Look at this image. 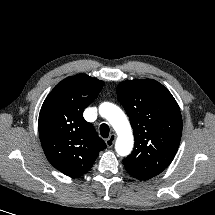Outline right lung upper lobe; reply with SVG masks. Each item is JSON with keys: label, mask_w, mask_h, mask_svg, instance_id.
<instances>
[{"label": "right lung upper lobe", "mask_w": 215, "mask_h": 215, "mask_svg": "<svg viewBox=\"0 0 215 215\" xmlns=\"http://www.w3.org/2000/svg\"><path fill=\"white\" fill-rule=\"evenodd\" d=\"M104 82L86 74L58 83L45 99L39 114V135L49 162L70 177L86 173L106 148L84 109L97 97Z\"/></svg>", "instance_id": "cb5924a9"}]
</instances>
